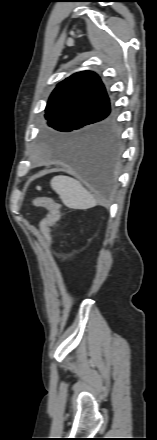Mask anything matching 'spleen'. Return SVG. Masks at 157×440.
<instances>
[{
  "instance_id": "3e777b00",
  "label": "spleen",
  "mask_w": 157,
  "mask_h": 440,
  "mask_svg": "<svg viewBox=\"0 0 157 440\" xmlns=\"http://www.w3.org/2000/svg\"><path fill=\"white\" fill-rule=\"evenodd\" d=\"M51 188L60 196L62 203L71 209L86 210L97 205L96 199L79 183L63 175L52 178Z\"/></svg>"
}]
</instances>
